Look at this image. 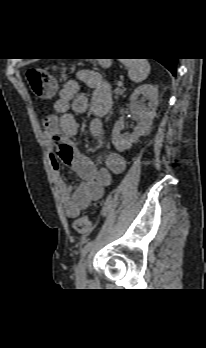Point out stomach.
<instances>
[{"label":"stomach","instance_id":"1","mask_svg":"<svg viewBox=\"0 0 206 348\" xmlns=\"http://www.w3.org/2000/svg\"><path fill=\"white\" fill-rule=\"evenodd\" d=\"M98 61L104 67H108V66L111 65V60L110 59H100Z\"/></svg>","mask_w":206,"mask_h":348}]
</instances>
